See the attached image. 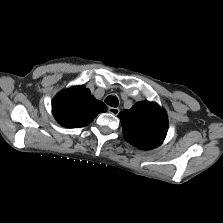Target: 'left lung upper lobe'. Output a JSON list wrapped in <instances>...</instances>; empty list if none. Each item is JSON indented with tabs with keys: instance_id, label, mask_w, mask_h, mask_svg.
Masks as SVG:
<instances>
[{
	"instance_id": "5c2ea615",
	"label": "left lung upper lobe",
	"mask_w": 223,
	"mask_h": 223,
	"mask_svg": "<svg viewBox=\"0 0 223 223\" xmlns=\"http://www.w3.org/2000/svg\"><path fill=\"white\" fill-rule=\"evenodd\" d=\"M118 117L125 140L137 148L153 149L167 134L166 112L156 103L138 102L131 109L120 112Z\"/></svg>"
}]
</instances>
